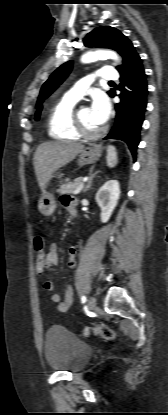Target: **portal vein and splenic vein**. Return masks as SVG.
<instances>
[{"instance_id":"18ae733b","label":"portal vein and splenic vein","mask_w":168,"mask_h":415,"mask_svg":"<svg viewBox=\"0 0 168 415\" xmlns=\"http://www.w3.org/2000/svg\"><path fill=\"white\" fill-rule=\"evenodd\" d=\"M85 183L82 182L79 187L75 190L74 194H79L81 190L84 188Z\"/></svg>"}]
</instances>
